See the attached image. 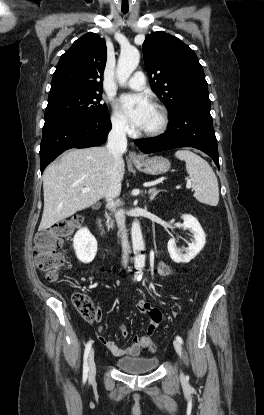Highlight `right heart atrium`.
<instances>
[{"instance_id": "right-heart-atrium-1", "label": "right heart atrium", "mask_w": 264, "mask_h": 415, "mask_svg": "<svg viewBox=\"0 0 264 415\" xmlns=\"http://www.w3.org/2000/svg\"><path fill=\"white\" fill-rule=\"evenodd\" d=\"M111 122L113 130L117 133L129 134L131 132V128L127 120L116 110L112 114Z\"/></svg>"}]
</instances>
